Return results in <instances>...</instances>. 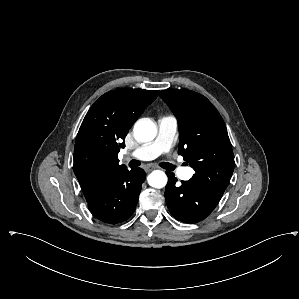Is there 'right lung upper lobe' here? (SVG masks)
I'll use <instances>...</instances> for the list:
<instances>
[{"label": "right lung upper lobe", "mask_w": 299, "mask_h": 299, "mask_svg": "<svg viewBox=\"0 0 299 299\" xmlns=\"http://www.w3.org/2000/svg\"><path fill=\"white\" fill-rule=\"evenodd\" d=\"M159 91L119 88L103 94L90 108L74 148V173L86 200L121 170L118 152L122 140Z\"/></svg>", "instance_id": "cb5924a9"}]
</instances>
